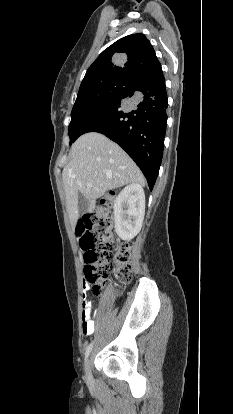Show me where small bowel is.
Here are the masks:
<instances>
[{
	"mask_svg": "<svg viewBox=\"0 0 233 414\" xmlns=\"http://www.w3.org/2000/svg\"><path fill=\"white\" fill-rule=\"evenodd\" d=\"M83 297H82V331L86 336L91 335L94 332V321L92 313V305L87 295L88 290L90 289V284L88 283V278H83Z\"/></svg>",
	"mask_w": 233,
	"mask_h": 414,
	"instance_id": "obj_1",
	"label": "small bowel"
}]
</instances>
